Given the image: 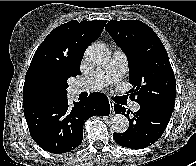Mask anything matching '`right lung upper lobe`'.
I'll use <instances>...</instances> for the list:
<instances>
[{"label": "right lung upper lobe", "instance_id": "right-lung-upper-lobe-1", "mask_svg": "<svg viewBox=\"0 0 196 166\" xmlns=\"http://www.w3.org/2000/svg\"><path fill=\"white\" fill-rule=\"evenodd\" d=\"M107 21H69L53 29L36 50L25 76L23 106L44 102L34 99L38 82H47L56 98L67 95V80L80 74V63L86 48L103 31ZM55 98V99H56Z\"/></svg>", "mask_w": 196, "mask_h": 166}]
</instances>
